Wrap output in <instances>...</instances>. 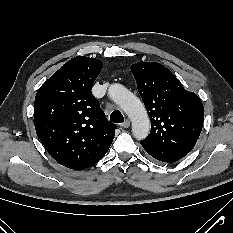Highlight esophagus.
Returning a JSON list of instances; mask_svg holds the SVG:
<instances>
[{
    "label": "esophagus",
    "instance_id": "1",
    "mask_svg": "<svg viewBox=\"0 0 233 233\" xmlns=\"http://www.w3.org/2000/svg\"><path fill=\"white\" fill-rule=\"evenodd\" d=\"M130 126V121L128 119H126L122 124L121 127L123 128H128Z\"/></svg>",
    "mask_w": 233,
    "mask_h": 233
}]
</instances>
